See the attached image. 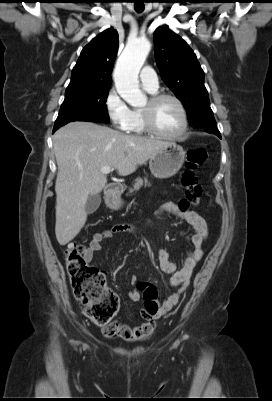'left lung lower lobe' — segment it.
I'll list each match as a JSON object with an SVG mask.
<instances>
[{
	"mask_svg": "<svg viewBox=\"0 0 272 401\" xmlns=\"http://www.w3.org/2000/svg\"><path fill=\"white\" fill-rule=\"evenodd\" d=\"M204 129H205V131H207L209 133H212V134H215V135H217L218 137L221 138V135H220V132H219V130L217 128V125L216 126H212V127H208V128H204Z\"/></svg>",
	"mask_w": 272,
	"mask_h": 401,
	"instance_id": "left-lung-lower-lobe-1",
	"label": "left lung lower lobe"
}]
</instances>
